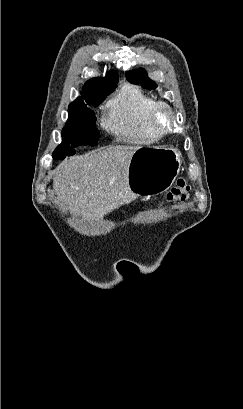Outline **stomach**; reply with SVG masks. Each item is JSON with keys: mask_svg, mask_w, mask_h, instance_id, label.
Here are the masks:
<instances>
[{"mask_svg": "<svg viewBox=\"0 0 243 409\" xmlns=\"http://www.w3.org/2000/svg\"><path fill=\"white\" fill-rule=\"evenodd\" d=\"M182 163L181 153L172 147L137 149L128 168V189L137 196H154L173 184Z\"/></svg>", "mask_w": 243, "mask_h": 409, "instance_id": "stomach-1", "label": "stomach"}]
</instances>
